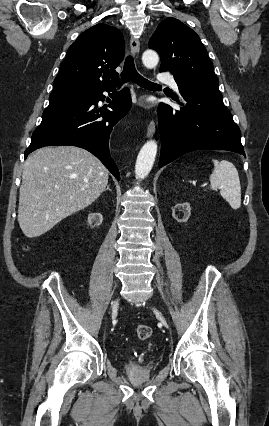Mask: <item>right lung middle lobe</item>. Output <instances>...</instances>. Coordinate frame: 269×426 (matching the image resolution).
I'll list each match as a JSON object with an SVG mask.
<instances>
[{"mask_svg": "<svg viewBox=\"0 0 269 426\" xmlns=\"http://www.w3.org/2000/svg\"><path fill=\"white\" fill-rule=\"evenodd\" d=\"M86 93L80 91L52 92L49 96V106L44 110L43 115L56 113L78 105L87 97Z\"/></svg>", "mask_w": 269, "mask_h": 426, "instance_id": "1", "label": "right lung middle lobe"}]
</instances>
